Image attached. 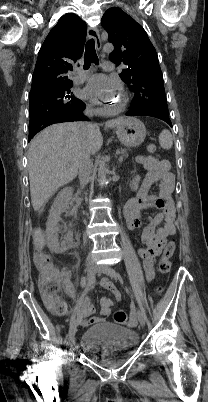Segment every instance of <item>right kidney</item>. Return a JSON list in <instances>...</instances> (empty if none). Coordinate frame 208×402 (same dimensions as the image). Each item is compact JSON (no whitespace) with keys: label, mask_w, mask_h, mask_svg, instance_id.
<instances>
[{"label":"right kidney","mask_w":208,"mask_h":402,"mask_svg":"<svg viewBox=\"0 0 208 402\" xmlns=\"http://www.w3.org/2000/svg\"><path fill=\"white\" fill-rule=\"evenodd\" d=\"M72 196V188H63V190L57 194L55 202H53L51 206L49 218L46 222L48 248H50L51 252H55V254L66 252V250H68L67 242H72L73 240L72 234H67L66 242H61V244H59L58 240V222L61 220L60 214L61 212H65V210H69Z\"/></svg>","instance_id":"ca27d5eb"}]
</instances>
